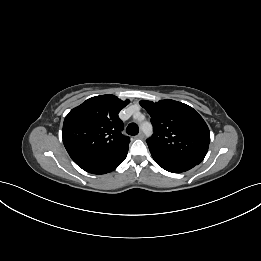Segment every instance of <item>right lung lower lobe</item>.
I'll use <instances>...</instances> for the list:
<instances>
[{
    "mask_svg": "<svg viewBox=\"0 0 261 261\" xmlns=\"http://www.w3.org/2000/svg\"><path fill=\"white\" fill-rule=\"evenodd\" d=\"M127 152L113 157H87L74 161L83 170L92 174H106L115 170L126 158Z\"/></svg>",
    "mask_w": 261,
    "mask_h": 261,
    "instance_id": "right-lung-lower-lobe-1",
    "label": "right lung lower lobe"
}]
</instances>
